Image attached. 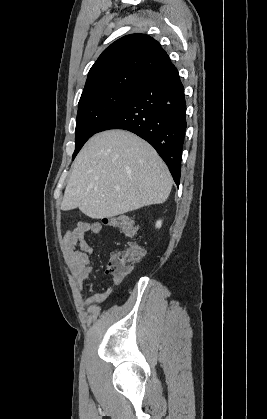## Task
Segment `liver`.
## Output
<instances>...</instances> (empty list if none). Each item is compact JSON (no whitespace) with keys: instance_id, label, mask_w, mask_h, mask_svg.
<instances>
[{"instance_id":"liver-1","label":"liver","mask_w":267,"mask_h":419,"mask_svg":"<svg viewBox=\"0 0 267 419\" xmlns=\"http://www.w3.org/2000/svg\"><path fill=\"white\" fill-rule=\"evenodd\" d=\"M173 180L154 148L135 134L108 130L94 135L73 164L61 203L93 219L114 217L168 198Z\"/></svg>"}]
</instances>
